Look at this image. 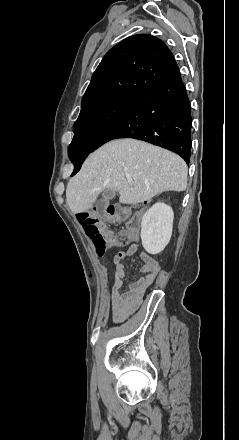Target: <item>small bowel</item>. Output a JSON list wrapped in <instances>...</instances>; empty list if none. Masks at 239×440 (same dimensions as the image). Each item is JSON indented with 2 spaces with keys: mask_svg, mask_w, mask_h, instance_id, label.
Wrapping results in <instances>:
<instances>
[{
  "mask_svg": "<svg viewBox=\"0 0 239 440\" xmlns=\"http://www.w3.org/2000/svg\"><path fill=\"white\" fill-rule=\"evenodd\" d=\"M138 245L132 244L127 250L118 252L114 256L115 276L111 292L112 316L116 322L128 318L140 305L148 287L154 282L160 271L159 262L145 251H141V258L144 261L141 267L142 276L129 284L128 290L121 292L126 276L124 261L137 254Z\"/></svg>",
  "mask_w": 239,
  "mask_h": 440,
  "instance_id": "obj_1",
  "label": "small bowel"
}]
</instances>
